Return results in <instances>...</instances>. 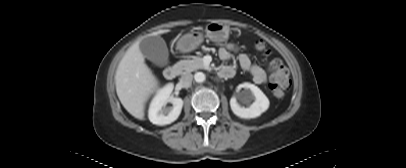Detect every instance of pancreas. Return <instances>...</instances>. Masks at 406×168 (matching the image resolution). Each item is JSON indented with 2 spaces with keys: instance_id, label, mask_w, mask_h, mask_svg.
I'll list each match as a JSON object with an SVG mask.
<instances>
[{
  "instance_id": "obj_1",
  "label": "pancreas",
  "mask_w": 406,
  "mask_h": 168,
  "mask_svg": "<svg viewBox=\"0 0 406 168\" xmlns=\"http://www.w3.org/2000/svg\"><path fill=\"white\" fill-rule=\"evenodd\" d=\"M177 66L183 73H187L204 68V63L201 58H194L192 60H182L177 63Z\"/></svg>"
}]
</instances>
